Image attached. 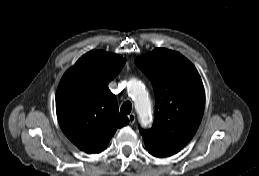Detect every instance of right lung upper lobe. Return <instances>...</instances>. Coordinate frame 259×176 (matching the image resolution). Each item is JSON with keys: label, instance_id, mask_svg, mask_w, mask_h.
I'll return each instance as SVG.
<instances>
[{"label": "right lung upper lobe", "instance_id": "1", "mask_svg": "<svg viewBox=\"0 0 259 176\" xmlns=\"http://www.w3.org/2000/svg\"><path fill=\"white\" fill-rule=\"evenodd\" d=\"M126 60L116 54L92 50L62 77L56 92L60 127L79 149L90 154L103 151L117 128L129 123L119 113L108 83Z\"/></svg>", "mask_w": 259, "mask_h": 176}]
</instances>
